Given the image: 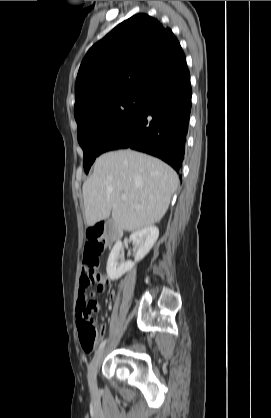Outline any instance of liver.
<instances>
[{"instance_id":"6515ba94","label":"liver","mask_w":271,"mask_h":418,"mask_svg":"<svg viewBox=\"0 0 271 418\" xmlns=\"http://www.w3.org/2000/svg\"><path fill=\"white\" fill-rule=\"evenodd\" d=\"M177 185L176 172L157 158L130 149L102 154L82 187L85 222L93 226L111 215L119 230L152 226L165 215Z\"/></svg>"}]
</instances>
